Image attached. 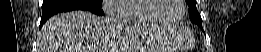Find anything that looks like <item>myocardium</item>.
I'll return each mask as SVG.
<instances>
[{
    "label": "myocardium",
    "mask_w": 261,
    "mask_h": 52,
    "mask_svg": "<svg viewBox=\"0 0 261 52\" xmlns=\"http://www.w3.org/2000/svg\"><path fill=\"white\" fill-rule=\"evenodd\" d=\"M178 3L180 5V7H181V12H180V15L178 16V18L175 19V20H165V19H162V18H160V17H158L156 15L155 12L158 9V7L160 6V4L157 2V0H148V1H146L145 9L149 12V14L151 15L152 19L156 23L177 24L178 22H180L182 20V18L185 15V12H186L185 1L184 0H178Z\"/></svg>",
    "instance_id": "obj_1"
}]
</instances>
